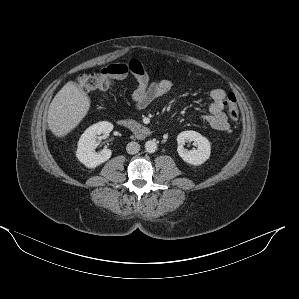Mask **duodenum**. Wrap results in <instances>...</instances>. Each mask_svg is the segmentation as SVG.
<instances>
[{"label":"duodenum","mask_w":299,"mask_h":299,"mask_svg":"<svg viewBox=\"0 0 299 299\" xmlns=\"http://www.w3.org/2000/svg\"><path fill=\"white\" fill-rule=\"evenodd\" d=\"M118 124L128 129L135 136L139 138H147L152 135L150 129L145 127L144 125L129 119H120Z\"/></svg>","instance_id":"1"}]
</instances>
